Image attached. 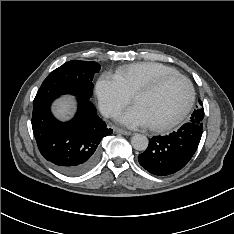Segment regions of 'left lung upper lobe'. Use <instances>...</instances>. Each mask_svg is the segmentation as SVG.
<instances>
[{"label":"left lung upper lobe","mask_w":234,"mask_h":234,"mask_svg":"<svg viewBox=\"0 0 234 234\" xmlns=\"http://www.w3.org/2000/svg\"><path fill=\"white\" fill-rule=\"evenodd\" d=\"M200 105L202 106L201 101H199ZM203 118H204V110L201 107H197L194 112L192 113L189 122L196 123L199 125H203Z\"/></svg>","instance_id":"5c2ea615"}]
</instances>
